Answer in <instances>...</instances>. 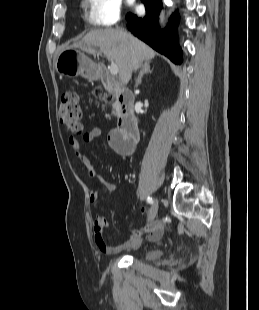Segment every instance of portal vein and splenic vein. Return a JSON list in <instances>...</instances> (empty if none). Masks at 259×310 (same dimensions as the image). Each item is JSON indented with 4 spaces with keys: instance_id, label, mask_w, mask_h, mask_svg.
<instances>
[{
    "instance_id": "portal-vein-and-splenic-vein-1",
    "label": "portal vein and splenic vein",
    "mask_w": 259,
    "mask_h": 310,
    "mask_svg": "<svg viewBox=\"0 0 259 310\" xmlns=\"http://www.w3.org/2000/svg\"><path fill=\"white\" fill-rule=\"evenodd\" d=\"M110 73L112 75H117L119 72L118 66L116 63L112 62L109 66Z\"/></svg>"
}]
</instances>
